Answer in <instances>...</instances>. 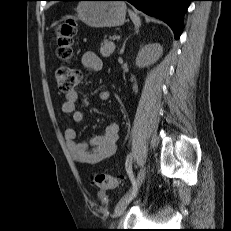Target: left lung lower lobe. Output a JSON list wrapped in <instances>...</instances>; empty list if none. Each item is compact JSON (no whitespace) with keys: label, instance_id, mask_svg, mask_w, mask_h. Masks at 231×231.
<instances>
[{"label":"left lung lower lobe","instance_id":"1","mask_svg":"<svg viewBox=\"0 0 231 231\" xmlns=\"http://www.w3.org/2000/svg\"><path fill=\"white\" fill-rule=\"evenodd\" d=\"M74 1V0H63ZM128 1L138 10L157 17L166 22L174 32L175 38H179L183 27V15L185 9L192 0H121Z\"/></svg>","mask_w":231,"mask_h":231}]
</instances>
